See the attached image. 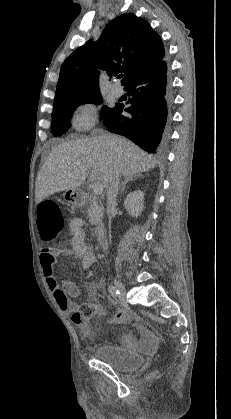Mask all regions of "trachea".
Masks as SVG:
<instances>
[{
    "instance_id": "1",
    "label": "trachea",
    "mask_w": 231,
    "mask_h": 419,
    "mask_svg": "<svg viewBox=\"0 0 231 419\" xmlns=\"http://www.w3.org/2000/svg\"><path fill=\"white\" fill-rule=\"evenodd\" d=\"M123 77V75H120V78H122Z\"/></svg>"
}]
</instances>
